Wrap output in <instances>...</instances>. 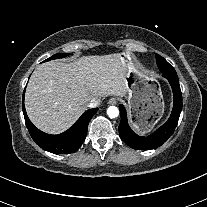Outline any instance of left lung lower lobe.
<instances>
[{
  "mask_svg": "<svg viewBox=\"0 0 207 207\" xmlns=\"http://www.w3.org/2000/svg\"><path fill=\"white\" fill-rule=\"evenodd\" d=\"M163 77L169 81L172 87L174 104L168 121L159 127L154 133L146 137L135 134L128 125L127 114L124 106L122 104L119 105L121 114L119 136L128 146L133 149L147 150L159 147L173 134L178 124L179 116L182 110V93L178 76L176 71L172 69L164 71Z\"/></svg>",
  "mask_w": 207,
  "mask_h": 207,
  "instance_id": "obj_1",
  "label": "left lung lower lobe"
}]
</instances>
